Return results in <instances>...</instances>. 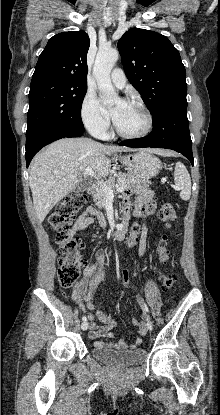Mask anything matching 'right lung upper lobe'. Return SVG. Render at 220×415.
<instances>
[{"label":"right lung upper lobe","instance_id":"cb5924a9","mask_svg":"<svg viewBox=\"0 0 220 415\" xmlns=\"http://www.w3.org/2000/svg\"><path fill=\"white\" fill-rule=\"evenodd\" d=\"M89 46V36L82 30L53 36L39 56L32 81L53 79L87 85Z\"/></svg>","mask_w":220,"mask_h":415}]
</instances>
